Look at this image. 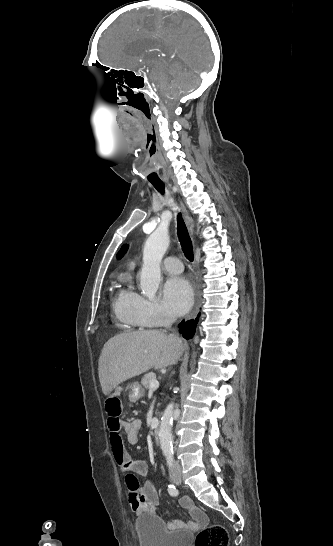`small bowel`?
<instances>
[{
    "instance_id": "small-bowel-1",
    "label": "small bowel",
    "mask_w": 333,
    "mask_h": 546,
    "mask_svg": "<svg viewBox=\"0 0 333 546\" xmlns=\"http://www.w3.org/2000/svg\"><path fill=\"white\" fill-rule=\"evenodd\" d=\"M121 386H116L114 396H119L117 393L122 392ZM107 426L110 435V445L116 464L120 470L126 475V484L128 487L129 505L131 509L136 513L144 511L155 513L158 505L160 504V498L156 490L153 481H147L142 487L139 485L137 475L144 476L147 474L148 465L143 460H132L129 453L124 449L123 441L121 438V430L126 432L127 440L130 444H137L139 441V432L142 423L138 419L125 421L120 418L111 420L107 416ZM181 505L190 513L194 518V526L203 525L206 521L204 513L197 508L189 498H183ZM173 527H181L184 525L182 521H173L170 523Z\"/></svg>"
}]
</instances>
